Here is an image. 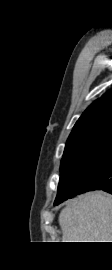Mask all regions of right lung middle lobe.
Listing matches in <instances>:
<instances>
[{
	"label": "right lung middle lobe",
	"mask_w": 112,
	"mask_h": 270,
	"mask_svg": "<svg viewBox=\"0 0 112 270\" xmlns=\"http://www.w3.org/2000/svg\"><path fill=\"white\" fill-rule=\"evenodd\" d=\"M111 143L112 124L94 127L67 140L54 205L83 193V175L100 161Z\"/></svg>",
	"instance_id": "right-lung-middle-lobe-1"
}]
</instances>
